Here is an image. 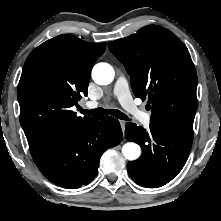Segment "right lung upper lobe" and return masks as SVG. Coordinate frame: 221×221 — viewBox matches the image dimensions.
I'll list each match as a JSON object with an SVG mask.
<instances>
[{
  "label": "right lung upper lobe",
  "instance_id": "obj_1",
  "mask_svg": "<svg viewBox=\"0 0 221 221\" xmlns=\"http://www.w3.org/2000/svg\"><path fill=\"white\" fill-rule=\"evenodd\" d=\"M105 49V44L64 34L47 40L29 54L17 98L32 157L62 134L93 119L77 117L70 108L87 95L92 67Z\"/></svg>",
  "mask_w": 221,
  "mask_h": 221
}]
</instances>
